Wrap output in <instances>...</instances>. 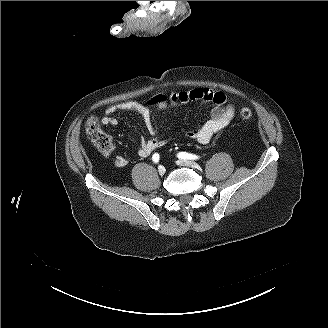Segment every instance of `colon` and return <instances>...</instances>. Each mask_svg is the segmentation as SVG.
Instances as JSON below:
<instances>
[{
  "mask_svg": "<svg viewBox=\"0 0 328 328\" xmlns=\"http://www.w3.org/2000/svg\"><path fill=\"white\" fill-rule=\"evenodd\" d=\"M167 101L168 97L166 95L159 94L150 100V104H161L166 103ZM240 117L243 120H249L252 117V111L247 107H243L240 110ZM86 133L96 148L102 153H108L112 150V139L100 128L99 121L96 117H90L87 120Z\"/></svg>",
  "mask_w": 328,
  "mask_h": 328,
  "instance_id": "colon-1",
  "label": "colon"
}]
</instances>
